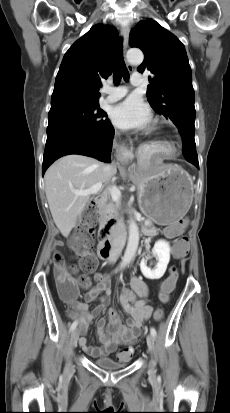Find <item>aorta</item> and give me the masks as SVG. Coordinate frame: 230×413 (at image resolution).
Segmentation results:
<instances>
[{"label":"aorta","mask_w":230,"mask_h":413,"mask_svg":"<svg viewBox=\"0 0 230 413\" xmlns=\"http://www.w3.org/2000/svg\"><path fill=\"white\" fill-rule=\"evenodd\" d=\"M127 60L131 64H140L143 61V53L139 49H129ZM139 244V228L136 221L131 217L129 220V238L127 247L122 258L121 267L128 265L134 258Z\"/></svg>","instance_id":"aorta-1"}]
</instances>
